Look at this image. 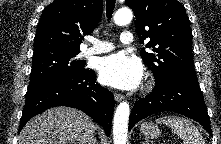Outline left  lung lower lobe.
I'll list each match as a JSON object with an SVG mask.
<instances>
[{
	"label": "left lung lower lobe",
	"mask_w": 221,
	"mask_h": 144,
	"mask_svg": "<svg viewBox=\"0 0 221 144\" xmlns=\"http://www.w3.org/2000/svg\"><path fill=\"white\" fill-rule=\"evenodd\" d=\"M161 111L187 116L202 124L212 136L207 108L198 81L175 76L156 80L153 91L135 102L130 114L129 130L140 120Z\"/></svg>",
	"instance_id": "obj_1"
}]
</instances>
